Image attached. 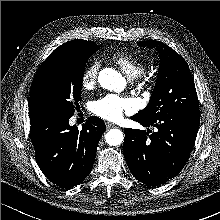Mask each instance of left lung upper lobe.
Returning a JSON list of instances; mask_svg holds the SVG:
<instances>
[{
	"mask_svg": "<svg viewBox=\"0 0 220 220\" xmlns=\"http://www.w3.org/2000/svg\"><path fill=\"white\" fill-rule=\"evenodd\" d=\"M138 46L157 49L160 66L149 104L135 115L150 120L172 112L199 114L195 84L185 60L159 41H139Z\"/></svg>",
	"mask_w": 220,
	"mask_h": 220,
	"instance_id": "left-lung-upper-lobe-1",
	"label": "left lung upper lobe"
}]
</instances>
